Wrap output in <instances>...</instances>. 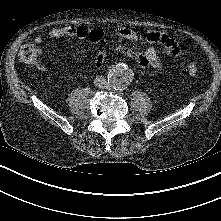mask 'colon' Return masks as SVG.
<instances>
[{"label": "colon", "mask_w": 221, "mask_h": 221, "mask_svg": "<svg viewBox=\"0 0 221 221\" xmlns=\"http://www.w3.org/2000/svg\"><path fill=\"white\" fill-rule=\"evenodd\" d=\"M105 45H103L104 47ZM39 50L33 43L24 44L19 51V59L25 64H33L37 61ZM185 75L194 77L198 73V65L194 62H189L183 69Z\"/></svg>", "instance_id": "1"}]
</instances>
